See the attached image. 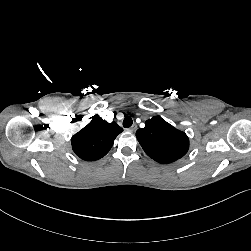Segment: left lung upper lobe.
<instances>
[{"mask_svg": "<svg viewBox=\"0 0 251 251\" xmlns=\"http://www.w3.org/2000/svg\"><path fill=\"white\" fill-rule=\"evenodd\" d=\"M145 153L156 162L168 164L183 157L189 149L187 135L159 116L145 122L136 132Z\"/></svg>", "mask_w": 251, "mask_h": 251, "instance_id": "1", "label": "left lung upper lobe"}]
</instances>
